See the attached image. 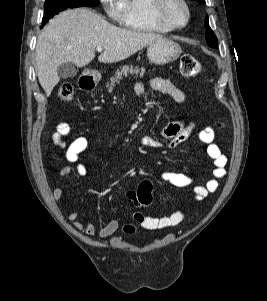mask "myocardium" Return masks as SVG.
Instances as JSON below:
<instances>
[{
	"label": "myocardium",
	"instance_id": "myocardium-1",
	"mask_svg": "<svg viewBox=\"0 0 267 301\" xmlns=\"http://www.w3.org/2000/svg\"><path fill=\"white\" fill-rule=\"evenodd\" d=\"M174 1L180 3L185 11V20L182 24L175 23L168 15V8ZM154 10L157 19L171 30L184 28L190 20V8L186 0H156Z\"/></svg>",
	"mask_w": 267,
	"mask_h": 301
}]
</instances>
